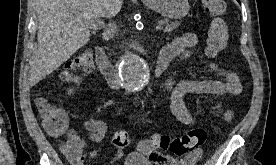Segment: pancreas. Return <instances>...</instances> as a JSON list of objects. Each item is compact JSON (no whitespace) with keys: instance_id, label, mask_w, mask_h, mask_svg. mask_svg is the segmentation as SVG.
I'll use <instances>...</instances> for the list:
<instances>
[{"instance_id":"pancreas-1","label":"pancreas","mask_w":276,"mask_h":165,"mask_svg":"<svg viewBox=\"0 0 276 165\" xmlns=\"http://www.w3.org/2000/svg\"><path fill=\"white\" fill-rule=\"evenodd\" d=\"M164 23H165V29H164L165 32H171L179 26L178 22L165 21Z\"/></svg>"}]
</instances>
